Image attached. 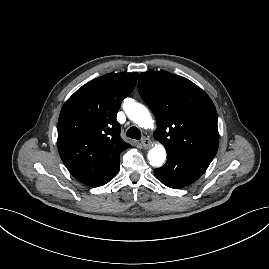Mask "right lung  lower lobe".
I'll list each match as a JSON object with an SVG mask.
<instances>
[{"mask_svg":"<svg viewBox=\"0 0 269 269\" xmlns=\"http://www.w3.org/2000/svg\"><path fill=\"white\" fill-rule=\"evenodd\" d=\"M118 170H119V167L116 168L114 170V172L104 182H102L99 186L104 185V184L108 183L111 179H113L117 175Z\"/></svg>","mask_w":269,"mask_h":269,"instance_id":"obj_1","label":"right lung lower lobe"}]
</instances>
